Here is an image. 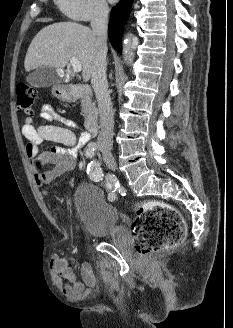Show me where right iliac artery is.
Masks as SVG:
<instances>
[{
  "instance_id": "1",
  "label": "right iliac artery",
  "mask_w": 233,
  "mask_h": 328,
  "mask_svg": "<svg viewBox=\"0 0 233 328\" xmlns=\"http://www.w3.org/2000/svg\"><path fill=\"white\" fill-rule=\"evenodd\" d=\"M96 149H97V147H96L95 143L89 144L85 151L86 157L92 158L95 154ZM104 186L108 193V199L110 201H115L116 197H117L116 191L119 188V183L116 180V178H114L112 176L108 177L106 182L104 183Z\"/></svg>"
}]
</instances>
